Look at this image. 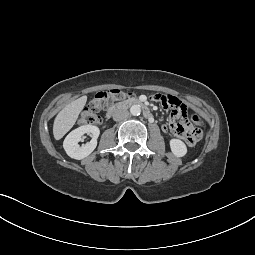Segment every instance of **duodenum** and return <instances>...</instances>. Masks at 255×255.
Masks as SVG:
<instances>
[{
	"label": "duodenum",
	"instance_id": "1",
	"mask_svg": "<svg viewBox=\"0 0 255 255\" xmlns=\"http://www.w3.org/2000/svg\"><path fill=\"white\" fill-rule=\"evenodd\" d=\"M131 106H139L143 110V114L146 118L152 119V113L149 107L140 99L136 97H128L120 102L113 103L106 112V117L111 118L116 112L131 107Z\"/></svg>",
	"mask_w": 255,
	"mask_h": 255
}]
</instances>
